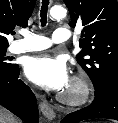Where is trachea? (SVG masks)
I'll return each mask as SVG.
<instances>
[{
  "label": "trachea",
  "instance_id": "obj_1",
  "mask_svg": "<svg viewBox=\"0 0 118 123\" xmlns=\"http://www.w3.org/2000/svg\"><path fill=\"white\" fill-rule=\"evenodd\" d=\"M49 0H42V6L40 11L41 25L45 26L47 23V12H48Z\"/></svg>",
  "mask_w": 118,
  "mask_h": 123
}]
</instances>
